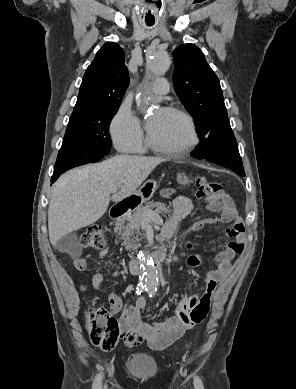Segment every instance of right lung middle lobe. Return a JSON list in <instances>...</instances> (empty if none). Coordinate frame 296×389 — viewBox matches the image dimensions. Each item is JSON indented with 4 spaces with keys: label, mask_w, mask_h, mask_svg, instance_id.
I'll use <instances>...</instances> for the list:
<instances>
[{
    "label": "right lung middle lobe",
    "mask_w": 296,
    "mask_h": 389,
    "mask_svg": "<svg viewBox=\"0 0 296 389\" xmlns=\"http://www.w3.org/2000/svg\"><path fill=\"white\" fill-rule=\"evenodd\" d=\"M118 108L95 109L78 119L69 120L54 170H69L97 162L108 154L111 148L109 124Z\"/></svg>",
    "instance_id": "obj_1"
}]
</instances>
